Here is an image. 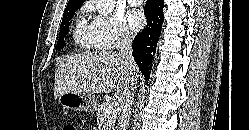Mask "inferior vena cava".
I'll return each instance as SVG.
<instances>
[{
    "label": "inferior vena cava",
    "instance_id": "obj_1",
    "mask_svg": "<svg viewBox=\"0 0 249 130\" xmlns=\"http://www.w3.org/2000/svg\"><path fill=\"white\" fill-rule=\"evenodd\" d=\"M132 41L133 36L129 32H125L122 35L121 43H120V50H119V57L126 67L129 79H130V88L127 92L125 99L121 103L122 105V113L120 116V122L118 125L119 130H125L126 126L129 122L130 113H131V107L133 104V97H134V91L137 84V78L135 77L137 67L134 61V58L132 56Z\"/></svg>",
    "mask_w": 249,
    "mask_h": 130
}]
</instances>
